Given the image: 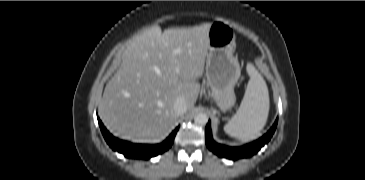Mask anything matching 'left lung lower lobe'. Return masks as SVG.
I'll use <instances>...</instances> for the list:
<instances>
[{
	"mask_svg": "<svg viewBox=\"0 0 365 180\" xmlns=\"http://www.w3.org/2000/svg\"><path fill=\"white\" fill-rule=\"evenodd\" d=\"M277 123L278 119H276L271 129L260 139L241 147H229L217 144L213 140L209 121L205 129L206 145L212 152L220 157H225L232 160L250 157L256 154L261 149V147H263L270 140L276 129Z\"/></svg>",
	"mask_w": 365,
	"mask_h": 180,
	"instance_id": "left-lung-lower-lobe-1",
	"label": "left lung lower lobe"
}]
</instances>
